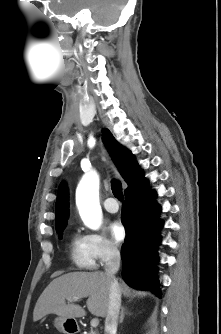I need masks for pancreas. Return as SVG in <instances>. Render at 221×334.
Here are the masks:
<instances>
[{
	"instance_id": "cf45deb5",
	"label": "pancreas",
	"mask_w": 221,
	"mask_h": 334,
	"mask_svg": "<svg viewBox=\"0 0 221 334\" xmlns=\"http://www.w3.org/2000/svg\"><path fill=\"white\" fill-rule=\"evenodd\" d=\"M88 334H97L95 331L91 330Z\"/></svg>"
}]
</instances>
